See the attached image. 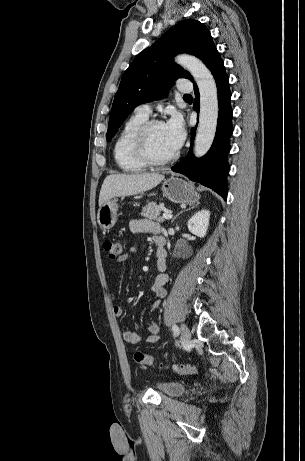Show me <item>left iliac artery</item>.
<instances>
[{
  "mask_svg": "<svg viewBox=\"0 0 305 461\" xmlns=\"http://www.w3.org/2000/svg\"><path fill=\"white\" fill-rule=\"evenodd\" d=\"M172 330H173L175 336H177V335L179 334V328H178L177 325L174 324V325L172 326Z\"/></svg>",
  "mask_w": 305,
  "mask_h": 461,
  "instance_id": "44dca946",
  "label": "left iliac artery"
}]
</instances>
